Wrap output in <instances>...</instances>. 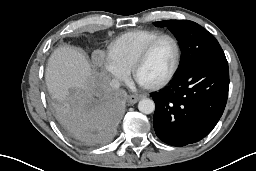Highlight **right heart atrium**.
<instances>
[{
    "label": "right heart atrium",
    "mask_w": 256,
    "mask_h": 171,
    "mask_svg": "<svg viewBox=\"0 0 256 171\" xmlns=\"http://www.w3.org/2000/svg\"><path fill=\"white\" fill-rule=\"evenodd\" d=\"M97 60L100 66L117 82L124 81L128 76V70L120 66L108 55L98 53Z\"/></svg>",
    "instance_id": "1"
}]
</instances>
